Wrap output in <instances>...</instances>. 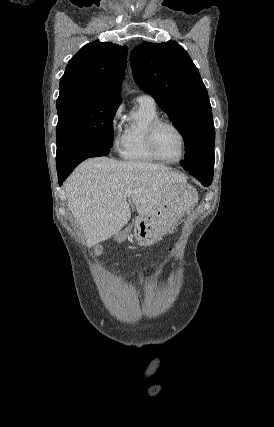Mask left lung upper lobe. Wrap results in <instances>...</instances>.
I'll list each match as a JSON object with an SVG mask.
<instances>
[{
	"label": "left lung upper lobe",
	"mask_w": 274,
	"mask_h": 427,
	"mask_svg": "<svg viewBox=\"0 0 274 427\" xmlns=\"http://www.w3.org/2000/svg\"><path fill=\"white\" fill-rule=\"evenodd\" d=\"M134 79L168 114L185 143L182 167L213 175L215 130L208 93L187 51L175 41L145 42L130 56Z\"/></svg>",
	"instance_id": "left-lung-upper-lobe-1"
}]
</instances>
